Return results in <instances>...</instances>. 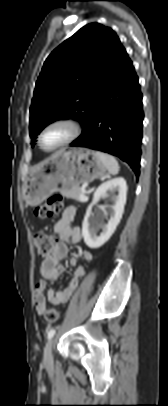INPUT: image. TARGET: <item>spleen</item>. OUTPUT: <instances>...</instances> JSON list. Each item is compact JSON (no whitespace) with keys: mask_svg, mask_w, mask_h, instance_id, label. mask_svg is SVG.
I'll return each instance as SVG.
<instances>
[{"mask_svg":"<svg viewBox=\"0 0 168 406\" xmlns=\"http://www.w3.org/2000/svg\"><path fill=\"white\" fill-rule=\"evenodd\" d=\"M96 155L99 158V160L106 166L110 174L112 175L118 174L119 164L113 156L100 151H97Z\"/></svg>","mask_w":168,"mask_h":406,"instance_id":"obj_1","label":"spleen"}]
</instances>
